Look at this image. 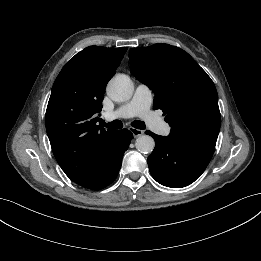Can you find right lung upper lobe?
Instances as JSON below:
<instances>
[{
    "label": "right lung upper lobe",
    "mask_w": 261,
    "mask_h": 261,
    "mask_svg": "<svg viewBox=\"0 0 261 261\" xmlns=\"http://www.w3.org/2000/svg\"><path fill=\"white\" fill-rule=\"evenodd\" d=\"M126 51L87 47L67 62L54 82L46 130L57 162L72 181L97 165L117 133L96 123L107 82Z\"/></svg>",
    "instance_id": "1"
}]
</instances>
